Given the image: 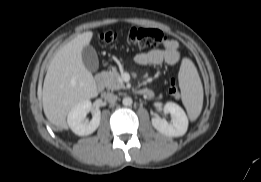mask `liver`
Masks as SVG:
<instances>
[{
  "instance_id": "obj_1",
  "label": "liver",
  "mask_w": 261,
  "mask_h": 182,
  "mask_svg": "<svg viewBox=\"0 0 261 182\" xmlns=\"http://www.w3.org/2000/svg\"><path fill=\"white\" fill-rule=\"evenodd\" d=\"M92 37L91 31L79 34L57 51L48 67L43 84V110L60 130L68 128L66 117L75 105L98 95L95 80L81 55Z\"/></svg>"
}]
</instances>
